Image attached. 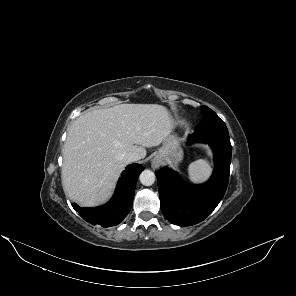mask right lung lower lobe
Wrapping results in <instances>:
<instances>
[{
  "label": "right lung lower lobe",
  "mask_w": 296,
  "mask_h": 296,
  "mask_svg": "<svg viewBox=\"0 0 296 296\" xmlns=\"http://www.w3.org/2000/svg\"><path fill=\"white\" fill-rule=\"evenodd\" d=\"M144 170L140 164H131L123 171L112 199L98 208H81L73 203V208L91 224L110 227L119 224L129 213L139 174Z\"/></svg>",
  "instance_id": "obj_1"
}]
</instances>
